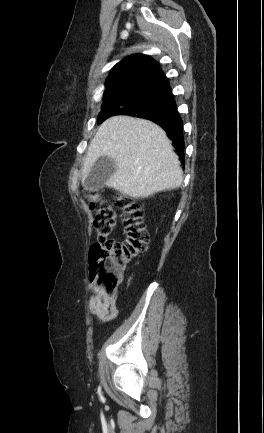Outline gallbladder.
<instances>
[{
    "instance_id": "bac80fb5",
    "label": "gallbladder",
    "mask_w": 264,
    "mask_h": 433,
    "mask_svg": "<svg viewBox=\"0 0 264 433\" xmlns=\"http://www.w3.org/2000/svg\"><path fill=\"white\" fill-rule=\"evenodd\" d=\"M115 161L108 156H101L91 169L89 176L83 181V186L88 190L103 188L110 177L116 172Z\"/></svg>"
}]
</instances>
